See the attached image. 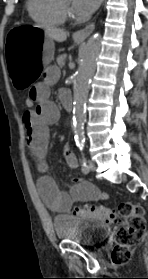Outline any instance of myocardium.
<instances>
[{
    "mask_svg": "<svg viewBox=\"0 0 148 279\" xmlns=\"http://www.w3.org/2000/svg\"><path fill=\"white\" fill-rule=\"evenodd\" d=\"M58 3L65 14L69 13L71 11V6L68 4H65L63 0H58Z\"/></svg>",
    "mask_w": 148,
    "mask_h": 279,
    "instance_id": "f54148a6",
    "label": "myocardium"
}]
</instances>
